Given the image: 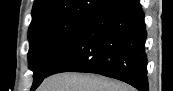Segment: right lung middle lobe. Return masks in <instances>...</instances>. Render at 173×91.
<instances>
[{
    "label": "right lung middle lobe",
    "instance_id": "obj_1",
    "mask_svg": "<svg viewBox=\"0 0 173 91\" xmlns=\"http://www.w3.org/2000/svg\"><path fill=\"white\" fill-rule=\"evenodd\" d=\"M91 16L68 17L29 27L28 61L34 73L33 86H39L52 63L72 41Z\"/></svg>",
    "mask_w": 173,
    "mask_h": 91
}]
</instances>
